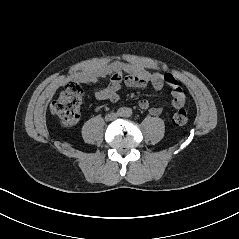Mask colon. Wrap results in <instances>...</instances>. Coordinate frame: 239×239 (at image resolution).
<instances>
[{"label":"colon","mask_w":239,"mask_h":239,"mask_svg":"<svg viewBox=\"0 0 239 239\" xmlns=\"http://www.w3.org/2000/svg\"><path fill=\"white\" fill-rule=\"evenodd\" d=\"M83 96L82 86L75 80H70L65 85V90L53 101L51 111L66 126L74 125L79 118L81 99ZM188 120L187 111L179 108L173 115V121L177 125H184Z\"/></svg>","instance_id":"1"}]
</instances>
